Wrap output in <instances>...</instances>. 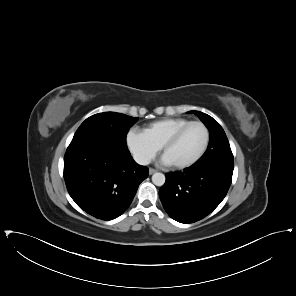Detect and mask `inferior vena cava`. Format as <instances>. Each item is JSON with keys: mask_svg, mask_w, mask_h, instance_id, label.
I'll list each match as a JSON object with an SVG mask.
<instances>
[{"mask_svg": "<svg viewBox=\"0 0 296 296\" xmlns=\"http://www.w3.org/2000/svg\"><path fill=\"white\" fill-rule=\"evenodd\" d=\"M133 158H134L135 162L140 165H148L151 161L150 157L142 152L134 153Z\"/></svg>", "mask_w": 296, "mask_h": 296, "instance_id": "1", "label": "inferior vena cava"}]
</instances>
